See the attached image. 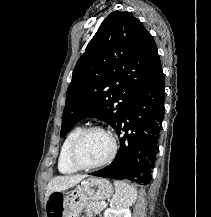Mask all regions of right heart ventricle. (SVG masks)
I'll return each instance as SVG.
<instances>
[{"instance_id":"e07e8e85","label":"right heart ventricle","mask_w":211,"mask_h":217,"mask_svg":"<svg viewBox=\"0 0 211 217\" xmlns=\"http://www.w3.org/2000/svg\"><path fill=\"white\" fill-rule=\"evenodd\" d=\"M82 130L81 126L74 127L65 137L58 157V170L63 174H72L78 171L70 161V149L73 141Z\"/></svg>"}]
</instances>
